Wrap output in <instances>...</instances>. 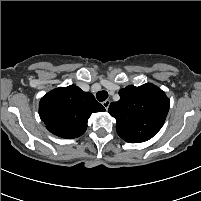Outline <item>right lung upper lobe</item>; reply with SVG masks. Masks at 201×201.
<instances>
[{
  "label": "right lung upper lobe",
  "mask_w": 201,
  "mask_h": 201,
  "mask_svg": "<svg viewBox=\"0 0 201 201\" xmlns=\"http://www.w3.org/2000/svg\"><path fill=\"white\" fill-rule=\"evenodd\" d=\"M105 108L89 92L75 85L59 87L43 96L39 103V115L46 128L56 136L72 139L81 136L93 112Z\"/></svg>",
  "instance_id": "right-lung-upper-lobe-1"
}]
</instances>
